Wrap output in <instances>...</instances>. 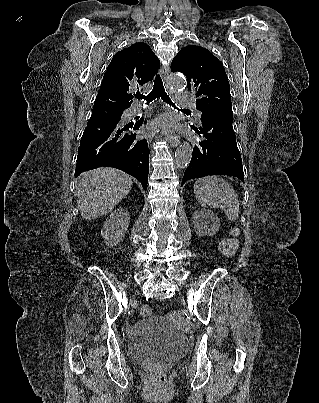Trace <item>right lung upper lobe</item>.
<instances>
[{
    "label": "right lung upper lobe",
    "mask_w": 319,
    "mask_h": 403,
    "mask_svg": "<svg viewBox=\"0 0 319 403\" xmlns=\"http://www.w3.org/2000/svg\"><path fill=\"white\" fill-rule=\"evenodd\" d=\"M159 69V59L144 42L117 52L104 74L94 107L125 110L133 102L130 91L151 81Z\"/></svg>",
    "instance_id": "right-lung-upper-lobe-1"
}]
</instances>
